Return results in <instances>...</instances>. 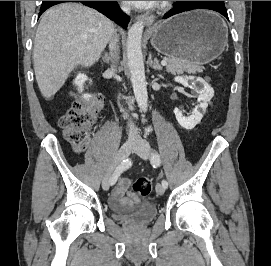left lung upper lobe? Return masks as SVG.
<instances>
[{"label":"left lung upper lobe","instance_id":"5c2ea615","mask_svg":"<svg viewBox=\"0 0 271 266\" xmlns=\"http://www.w3.org/2000/svg\"><path fill=\"white\" fill-rule=\"evenodd\" d=\"M184 3L199 5L203 8L213 9L216 11H227L224 1H180Z\"/></svg>","mask_w":271,"mask_h":266}]
</instances>
